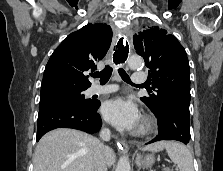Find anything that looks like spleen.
<instances>
[{
    "instance_id": "3e777b00",
    "label": "spleen",
    "mask_w": 223,
    "mask_h": 171,
    "mask_svg": "<svg viewBox=\"0 0 223 171\" xmlns=\"http://www.w3.org/2000/svg\"><path fill=\"white\" fill-rule=\"evenodd\" d=\"M170 159L177 164L179 171H194L193 167V157L189 149L174 141H164L161 142Z\"/></svg>"
}]
</instances>
